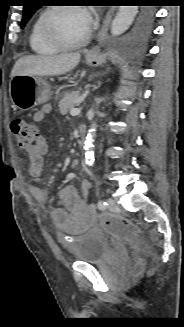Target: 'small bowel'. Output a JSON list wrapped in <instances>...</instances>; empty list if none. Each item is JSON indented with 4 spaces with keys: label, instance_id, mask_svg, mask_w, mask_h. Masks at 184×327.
I'll return each mask as SVG.
<instances>
[{
    "label": "small bowel",
    "instance_id": "small-bowel-1",
    "mask_svg": "<svg viewBox=\"0 0 184 327\" xmlns=\"http://www.w3.org/2000/svg\"><path fill=\"white\" fill-rule=\"evenodd\" d=\"M51 110V105L46 104L33 115L34 122H41ZM49 150V143L43 134H39L35 144L27 149L26 155L29 162V173L32 177H40L44 167V155ZM92 184L88 180L81 183V193L72 185L64 186L59 193L60 205L53 207L49 213L55 226L69 234H81L91 228L96 220L95 209L88 204V195ZM30 191L41 206H46L49 201L47 191L37 185H32Z\"/></svg>",
    "mask_w": 184,
    "mask_h": 327
}]
</instances>
